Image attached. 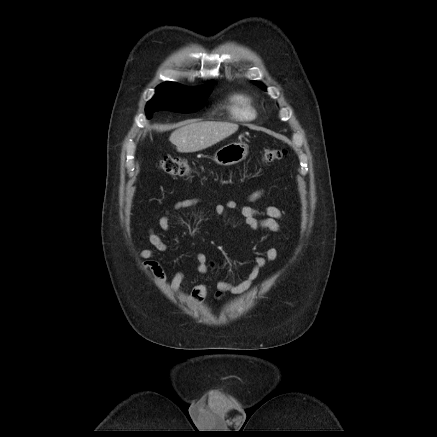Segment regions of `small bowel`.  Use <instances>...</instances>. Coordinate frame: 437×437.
<instances>
[{"instance_id":"1","label":"small bowel","mask_w":437,"mask_h":437,"mask_svg":"<svg viewBox=\"0 0 437 437\" xmlns=\"http://www.w3.org/2000/svg\"><path fill=\"white\" fill-rule=\"evenodd\" d=\"M264 196V190L258 189L251 193L248 197V203L239 206L235 201H227L225 204H211L213 212L220 216L223 215L227 210H232L238 212L245 224L251 230H268L271 232L280 231V221L283 219L282 211L275 206H267L265 208H256L251 204L258 201ZM202 203L199 198H190L177 202L172 210L187 209L197 206ZM171 210L164 212L159 220V227L163 231H169L170 225V215ZM148 240L153 246V249H144L140 252V257L143 259L144 267L150 270L154 278L162 285L167 286L172 291H177L180 289L183 281L184 274L181 272L176 273L171 279L166 275V272L162 264L155 259L156 252H166L168 250L167 244L163 241L161 236L155 232L154 229H149ZM278 257V251L274 247H268L265 249L262 255H258L253 259L252 268L243 281L234 284L228 281L221 280L217 283L218 295L224 292H230L232 294H241L251 288L254 281L258 278L260 271L265 268L269 262H273ZM197 260V270L201 274H205L208 270V259L207 257L199 253L196 256ZM207 293V286L205 284H199L195 286L191 291V299L193 301H202Z\"/></svg>"}]
</instances>
